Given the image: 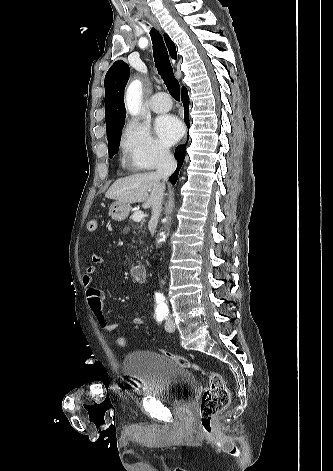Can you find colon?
Listing matches in <instances>:
<instances>
[{
    "mask_svg": "<svg viewBox=\"0 0 333 471\" xmlns=\"http://www.w3.org/2000/svg\"><path fill=\"white\" fill-rule=\"evenodd\" d=\"M87 228L90 232H95L98 228L97 220H90L87 224ZM114 341L118 347H125L127 345V340L122 335H116ZM161 353L172 359L181 367L191 369L207 378L208 386L202 395L199 409V426L202 432L207 434L211 433L216 416L227 408L230 402V392L223 377L219 373L209 371L183 356L167 351H162Z\"/></svg>",
    "mask_w": 333,
    "mask_h": 471,
    "instance_id": "1",
    "label": "colon"
}]
</instances>
